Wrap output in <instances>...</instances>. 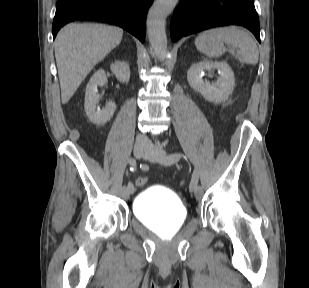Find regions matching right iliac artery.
<instances>
[{
    "label": "right iliac artery",
    "instance_id": "obj_1",
    "mask_svg": "<svg viewBox=\"0 0 309 288\" xmlns=\"http://www.w3.org/2000/svg\"><path fill=\"white\" fill-rule=\"evenodd\" d=\"M140 170H141V172L143 171V170H151L150 168H149V166L148 165H140ZM127 190H129V191H132V190H134V185H132V183L131 182H128L127 183Z\"/></svg>",
    "mask_w": 309,
    "mask_h": 288
}]
</instances>
